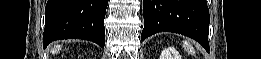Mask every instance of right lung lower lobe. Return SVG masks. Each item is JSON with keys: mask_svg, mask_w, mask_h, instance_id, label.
I'll return each mask as SVG.
<instances>
[{"mask_svg": "<svg viewBox=\"0 0 261 59\" xmlns=\"http://www.w3.org/2000/svg\"><path fill=\"white\" fill-rule=\"evenodd\" d=\"M108 0H48L43 46L55 40L80 38L105 45L104 18Z\"/></svg>", "mask_w": 261, "mask_h": 59, "instance_id": "right-lung-lower-lobe-1", "label": "right lung lower lobe"}]
</instances>
